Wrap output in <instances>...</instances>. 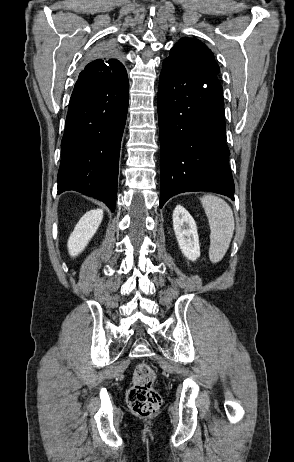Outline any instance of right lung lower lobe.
I'll return each instance as SVG.
<instances>
[{"label":"right lung lower lobe","mask_w":294,"mask_h":462,"mask_svg":"<svg viewBox=\"0 0 294 462\" xmlns=\"http://www.w3.org/2000/svg\"><path fill=\"white\" fill-rule=\"evenodd\" d=\"M128 99L127 73L108 83L73 90L61 142L58 194L75 190L115 210Z\"/></svg>","instance_id":"1"}]
</instances>
